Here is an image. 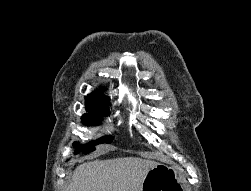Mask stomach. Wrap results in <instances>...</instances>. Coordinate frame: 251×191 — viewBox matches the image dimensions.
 <instances>
[{
  "label": "stomach",
  "instance_id": "stomach-1",
  "mask_svg": "<svg viewBox=\"0 0 251 191\" xmlns=\"http://www.w3.org/2000/svg\"><path fill=\"white\" fill-rule=\"evenodd\" d=\"M178 173L165 163H157L144 175L141 191H181Z\"/></svg>",
  "mask_w": 251,
  "mask_h": 191
}]
</instances>
